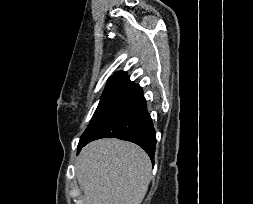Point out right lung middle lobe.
<instances>
[{
    "instance_id": "right-lung-middle-lobe-1",
    "label": "right lung middle lobe",
    "mask_w": 253,
    "mask_h": 204,
    "mask_svg": "<svg viewBox=\"0 0 253 204\" xmlns=\"http://www.w3.org/2000/svg\"><path fill=\"white\" fill-rule=\"evenodd\" d=\"M139 85L132 82L107 85L99 102V105L90 121L87 129L82 134L78 148L85 143L93 131L130 95Z\"/></svg>"
}]
</instances>
